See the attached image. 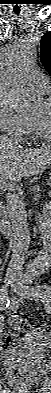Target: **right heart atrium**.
Segmentation results:
<instances>
[{
	"mask_svg": "<svg viewBox=\"0 0 51 393\" xmlns=\"http://www.w3.org/2000/svg\"><path fill=\"white\" fill-rule=\"evenodd\" d=\"M29 118L18 113L10 103L0 98V130L4 134L23 138L29 133L28 130Z\"/></svg>",
	"mask_w": 51,
	"mask_h": 393,
	"instance_id": "right-heart-atrium-1",
	"label": "right heart atrium"
}]
</instances>
